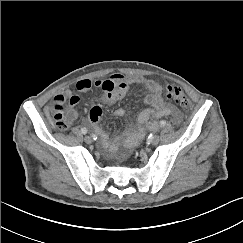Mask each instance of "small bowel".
<instances>
[{
  "label": "small bowel",
  "mask_w": 243,
  "mask_h": 243,
  "mask_svg": "<svg viewBox=\"0 0 243 243\" xmlns=\"http://www.w3.org/2000/svg\"><path fill=\"white\" fill-rule=\"evenodd\" d=\"M131 85H140L147 90L144 103L148 107L138 114L137 129L133 131V123L129 122L126 124L122 133V136L126 137L129 144L135 145L143 139L147 130H157V123L152 121V118L173 116L178 119L180 117V113L173 106L164 101L161 95V86L158 82L143 76L126 77L122 74H113L111 77L103 80L92 81L90 79H81L76 83L75 87L79 92H87L92 88L100 89L103 92L101 97L102 102L105 104H114L125 96ZM66 103L69 105V110L66 116L69 120V124H71L77 118V112L74 108L80 103L79 95L74 94L69 90L57 94L48 108V112H52L55 106H64ZM115 115L117 117H124L126 115V111L119 108L115 111ZM101 116V107L95 105L89 110L88 121L99 136L103 147L110 151H114L117 149L120 139L115 141L109 140L108 135L99 125Z\"/></svg>",
  "instance_id": "small-bowel-1"
}]
</instances>
